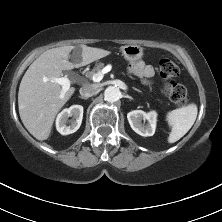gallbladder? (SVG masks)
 Masks as SVG:
<instances>
[{
	"mask_svg": "<svg viewBox=\"0 0 222 222\" xmlns=\"http://www.w3.org/2000/svg\"><path fill=\"white\" fill-rule=\"evenodd\" d=\"M81 51V48L79 46L74 48V52L75 53H79ZM75 62V61H74Z\"/></svg>",
	"mask_w": 222,
	"mask_h": 222,
	"instance_id": "obj_1",
	"label": "gallbladder"
}]
</instances>
